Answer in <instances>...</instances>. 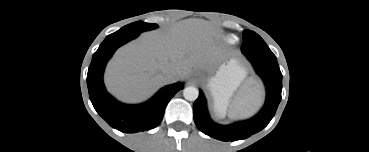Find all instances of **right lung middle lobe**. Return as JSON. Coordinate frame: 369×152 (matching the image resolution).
<instances>
[{
  "label": "right lung middle lobe",
  "mask_w": 369,
  "mask_h": 152,
  "mask_svg": "<svg viewBox=\"0 0 369 152\" xmlns=\"http://www.w3.org/2000/svg\"><path fill=\"white\" fill-rule=\"evenodd\" d=\"M157 24H149L143 21H137L132 24L126 25L117 32H128L133 34H140L141 32L152 30L157 28Z\"/></svg>",
  "instance_id": "obj_1"
}]
</instances>
